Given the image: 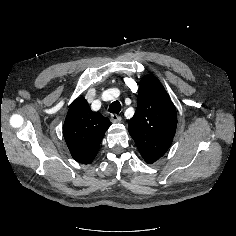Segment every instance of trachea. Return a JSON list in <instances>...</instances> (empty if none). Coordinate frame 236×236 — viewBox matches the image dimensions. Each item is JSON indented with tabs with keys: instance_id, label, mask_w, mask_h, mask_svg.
I'll list each match as a JSON object with an SVG mask.
<instances>
[{
	"instance_id": "1",
	"label": "trachea",
	"mask_w": 236,
	"mask_h": 236,
	"mask_svg": "<svg viewBox=\"0 0 236 236\" xmlns=\"http://www.w3.org/2000/svg\"><path fill=\"white\" fill-rule=\"evenodd\" d=\"M121 111V104L119 101H114L109 106V112L111 113H119Z\"/></svg>"
}]
</instances>
